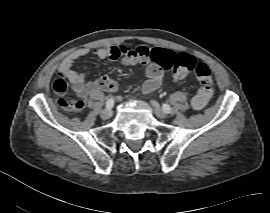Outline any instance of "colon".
<instances>
[{"mask_svg": "<svg viewBox=\"0 0 270 213\" xmlns=\"http://www.w3.org/2000/svg\"><path fill=\"white\" fill-rule=\"evenodd\" d=\"M116 54L119 56H137L144 60H152L164 70H172L175 81L184 79L192 69H195L196 78L201 84L191 102L195 110L203 109L214 93L211 70L204 63L197 64L195 57L192 55L186 53L173 55L167 51H150L143 46L130 47L125 45L118 46ZM52 88L58 95L57 102L60 106L70 111H80L84 107L82 100L66 95V88L60 80H56Z\"/></svg>", "mask_w": 270, "mask_h": 213, "instance_id": "5ec220e1", "label": "colon"}]
</instances>
